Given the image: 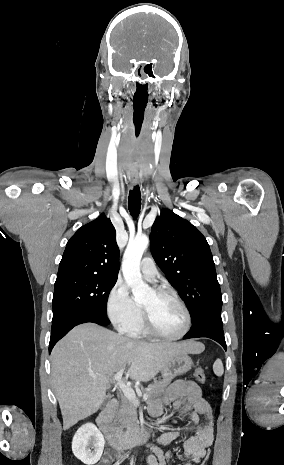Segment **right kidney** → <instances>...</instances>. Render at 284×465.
I'll return each mask as SVG.
<instances>
[{
	"label": "right kidney",
	"instance_id": "ca27d5eb",
	"mask_svg": "<svg viewBox=\"0 0 284 465\" xmlns=\"http://www.w3.org/2000/svg\"><path fill=\"white\" fill-rule=\"evenodd\" d=\"M105 441L99 429L93 423H86L76 431L72 441V451L85 465L98 463Z\"/></svg>",
	"mask_w": 284,
	"mask_h": 465
}]
</instances>
